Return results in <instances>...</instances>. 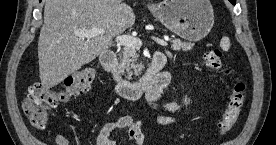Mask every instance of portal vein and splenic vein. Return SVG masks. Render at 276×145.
<instances>
[{
	"label": "portal vein and splenic vein",
	"mask_w": 276,
	"mask_h": 145,
	"mask_svg": "<svg viewBox=\"0 0 276 145\" xmlns=\"http://www.w3.org/2000/svg\"><path fill=\"white\" fill-rule=\"evenodd\" d=\"M104 30L100 28H92L89 30L76 31V35L83 38H91L98 35H103ZM152 39L159 45L166 47L168 44L163 39L152 37ZM116 42L119 45H123L129 48L138 49L142 45V41L137 37H132L129 35H119L116 37Z\"/></svg>",
	"instance_id": "obj_1"
}]
</instances>
